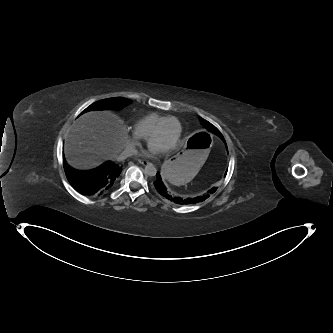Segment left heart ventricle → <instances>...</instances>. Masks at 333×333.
<instances>
[{"label":"left heart ventricle","mask_w":333,"mask_h":333,"mask_svg":"<svg viewBox=\"0 0 333 333\" xmlns=\"http://www.w3.org/2000/svg\"><path fill=\"white\" fill-rule=\"evenodd\" d=\"M177 133V123L174 120H170L164 125L162 131L153 139L152 144L165 150L174 142Z\"/></svg>","instance_id":"obj_1"}]
</instances>
